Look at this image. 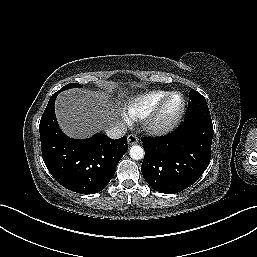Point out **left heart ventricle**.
Instances as JSON below:
<instances>
[{
	"instance_id": "b2bd125f",
	"label": "left heart ventricle",
	"mask_w": 257,
	"mask_h": 257,
	"mask_svg": "<svg viewBox=\"0 0 257 257\" xmlns=\"http://www.w3.org/2000/svg\"><path fill=\"white\" fill-rule=\"evenodd\" d=\"M181 106V97L180 96H174L166 106L163 114H162V120H168L172 118L180 109Z\"/></svg>"
}]
</instances>
